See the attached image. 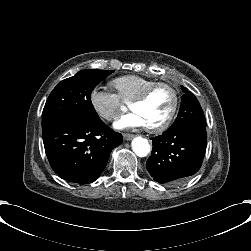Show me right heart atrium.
<instances>
[{"mask_svg":"<svg viewBox=\"0 0 251 251\" xmlns=\"http://www.w3.org/2000/svg\"><path fill=\"white\" fill-rule=\"evenodd\" d=\"M89 104L93 111L106 121L117 117L124 107V101L117 94L101 87L90 90Z\"/></svg>","mask_w":251,"mask_h":251,"instance_id":"1","label":"right heart atrium"}]
</instances>
